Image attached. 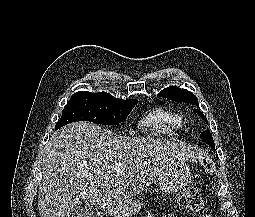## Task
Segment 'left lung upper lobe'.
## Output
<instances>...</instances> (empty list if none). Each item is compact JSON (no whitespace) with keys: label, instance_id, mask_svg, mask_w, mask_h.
Listing matches in <instances>:
<instances>
[{"label":"left lung upper lobe","instance_id":"1","mask_svg":"<svg viewBox=\"0 0 255 217\" xmlns=\"http://www.w3.org/2000/svg\"><path fill=\"white\" fill-rule=\"evenodd\" d=\"M159 95L162 96V97L168 98L170 100L177 101V102H183V103H188V104L198 106L197 97L193 93H191L190 91H188L186 89H181V88L176 87V86H170V87L162 90L159 93ZM194 110L198 115H200V117L203 120H205L207 122L205 116L202 114V112L200 110H198V109H194ZM200 137L212 149H215L212 134L210 133L209 130H205L204 132H202Z\"/></svg>","mask_w":255,"mask_h":217}]
</instances>
